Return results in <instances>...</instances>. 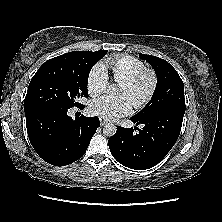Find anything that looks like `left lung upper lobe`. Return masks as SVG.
Listing matches in <instances>:
<instances>
[{
	"mask_svg": "<svg viewBox=\"0 0 222 222\" xmlns=\"http://www.w3.org/2000/svg\"><path fill=\"white\" fill-rule=\"evenodd\" d=\"M140 57L154 68L157 86L149 103L134 117L142 118L168 108L185 110L183 81L174 67L156 56L140 54Z\"/></svg>",
	"mask_w": 222,
	"mask_h": 222,
	"instance_id": "obj_1",
	"label": "left lung upper lobe"
}]
</instances>
